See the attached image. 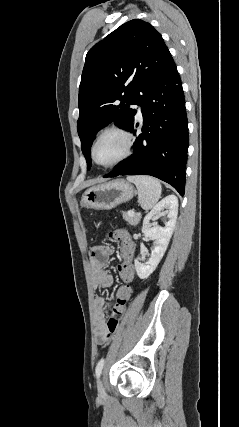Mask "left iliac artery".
Returning a JSON list of instances; mask_svg holds the SVG:
<instances>
[{
	"label": "left iliac artery",
	"mask_w": 239,
	"mask_h": 427,
	"mask_svg": "<svg viewBox=\"0 0 239 427\" xmlns=\"http://www.w3.org/2000/svg\"><path fill=\"white\" fill-rule=\"evenodd\" d=\"M104 363H105V359H104V358H102V359L97 363V365H96V368H95V374H96V377H97V378L101 375V372H102V369H103Z\"/></svg>",
	"instance_id": "1"
}]
</instances>
